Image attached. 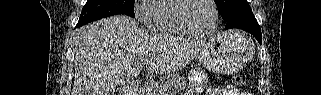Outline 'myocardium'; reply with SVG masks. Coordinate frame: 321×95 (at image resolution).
Segmentation results:
<instances>
[{
  "label": "myocardium",
  "instance_id": "obj_1",
  "mask_svg": "<svg viewBox=\"0 0 321 95\" xmlns=\"http://www.w3.org/2000/svg\"><path fill=\"white\" fill-rule=\"evenodd\" d=\"M195 0H179L177 5L175 6L173 10V21L176 25H178L180 28L185 30L188 34L193 35V36H198V37H205V36H210L218 28L219 25V11L218 7L216 5V2L214 0H208L210 4L213 7L214 11V25L213 27L207 31V32H200L196 30L192 25L188 23L185 17V10L188 8V6Z\"/></svg>",
  "mask_w": 321,
  "mask_h": 95
}]
</instances>
